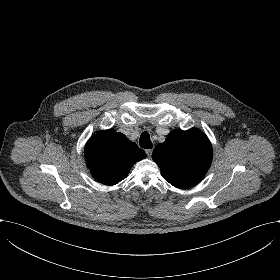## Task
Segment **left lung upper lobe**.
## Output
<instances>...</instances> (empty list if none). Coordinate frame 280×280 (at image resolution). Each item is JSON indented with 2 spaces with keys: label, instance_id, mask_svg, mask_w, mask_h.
I'll return each instance as SVG.
<instances>
[{
  "label": "left lung upper lobe",
  "instance_id": "5c2ea615",
  "mask_svg": "<svg viewBox=\"0 0 280 280\" xmlns=\"http://www.w3.org/2000/svg\"><path fill=\"white\" fill-rule=\"evenodd\" d=\"M163 178L177 188L198 183L212 161V146L207 136L196 128L173 130L152 154Z\"/></svg>",
  "mask_w": 280,
  "mask_h": 280
}]
</instances>
